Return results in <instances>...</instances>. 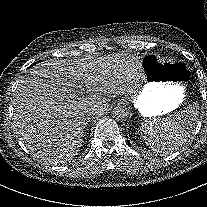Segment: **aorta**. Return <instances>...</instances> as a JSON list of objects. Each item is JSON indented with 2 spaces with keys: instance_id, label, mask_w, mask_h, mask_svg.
Segmentation results:
<instances>
[{
  "instance_id": "762f6f07",
  "label": "aorta",
  "mask_w": 207,
  "mask_h": 207,
  "mask_svg": "<svg viewBox=\"0 0 207 207\" xmlns=\"http://www.w3.org/2000/svg\"><path fill=\"white\" fill-rule=\"evenodd\" d=\"M129 115V109L123 104L116 106L112 111L113 118L119 122L126 121L129 118Z\"/></svg>"
}]
</instances>
